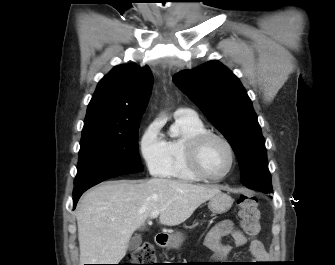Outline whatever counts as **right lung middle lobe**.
I'll use <instances>...</instances> for the list:
<instances>
[{"label": "right lung middle lobe", "mask_w": 335, "mask_h": 265, "mask_svg": "<svg viewBox=\"0 0 335 265\" xmlns=\"http://www.w3.org/2000/svg\"><path fill=\"white\" fill-rule=\"evenodd\" d=\"M139 123L120 131L82 133L74 191L111 177L142 171Z\"/></svg>", "instance_id": "1"}]
</instances>
